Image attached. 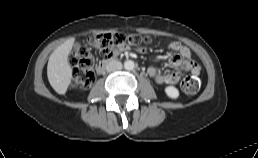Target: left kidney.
Returning a JSON list of instances; mask_svg holds the SVG:
<instances>
[{"label": "left kidney", "mask_w": 258, "mask_h": 158, "mask_svg": "<svg viewBox=\"0 0 258 158\" xmlns=\"http://www.w3.org/2000/svg\"><path fill=\"white\" fill-rule=\"evenodd\" d=\"M165 93L171 99H177L179 97V91L174 86H167L165 88Z\"/></svg>", "instance_id": "left-kidney-1"}]
</instances>
